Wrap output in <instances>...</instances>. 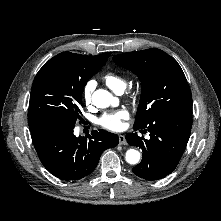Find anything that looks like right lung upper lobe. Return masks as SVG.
I'll return each instance as SVG.
<instances>
[{
	"instance_id": "obj_1",
	"label": "right lung upper lobe",
	"mask_w": 221,
	"mask_h": 221,
	"mask_svg": "<svg viewBox=\"0 0 221 221\" xmlns=\"http://www.w3.org/2000/svg\"><path fill=\"white\" fill-rule=\"evenodd\" d=\"M110 55H111V52H107V53L97 55V56H87V55L86 56H87L88 61L91 64L102 67L106 63ZM35 128L36 126H32L30 127V130H34Z\"/></svg>"
}]
</instances>
